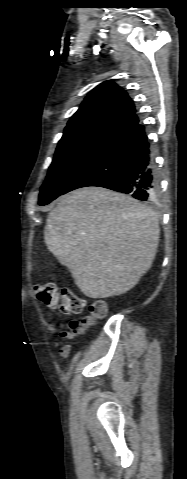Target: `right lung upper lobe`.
I'll use <instances>...</instances> for the list:
<instances>
[{
	"mask_svg": "<svg viewBox=\"0 0 187 479\" xmlns=\"http://www.w3.org/2000/svg\"><path fill=\"white\" fill-rule=\"evenodd\" d=\"M138 122L133 101L121 87L108 81L101 83L89 93L69 120L64 132L102 125L126 133Z\"/></svg>",
	"mask_w": 187,
	"mask_h": 479,
	"instance_id": "cb5924a9",
	"label": "right lung upper lobe"
}]
</instances>
